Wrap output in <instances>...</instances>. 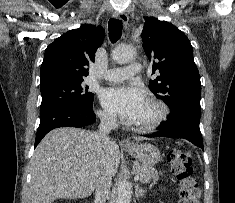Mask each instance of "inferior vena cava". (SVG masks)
Wrapping results in <instances>:
<instances>
[{"instance_id": "1", "label": "inferior vena cava", "mask_w": 235, "mask_h": 203, "mask_svg": "<svg viewBox=\"0 0 235 203\" xmlns=\"http://www.w3.org/2000/svg\"><path fill=\"white\" fill-rule=\"evenodd\" d=\"M99 131L96 132V139L106 146L110 140L108 134L116 126L115 116L102 114L100 115ZM112 177L108 171H105L99 178L96 185L95 203H105L110 192Z\"/></svg>"}]
</instances>
